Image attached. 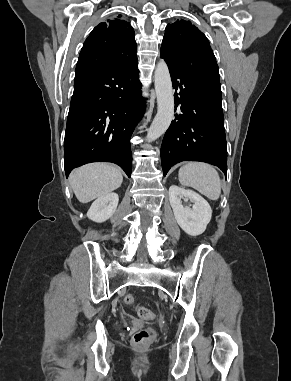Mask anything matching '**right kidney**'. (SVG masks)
Instances as JSON below:
<instances>
[{"label":"right kidney","mask_w":291,"mask_h":381,"mask_svg":"<svg viewBox=\"0 0 291 381\" xmlns=\"http://www.w3.org/2000/svg\"><path fill=\"white\" fill-rule=\"evenodd\" d=\"M119 197L116 193H109L97 198L87 212V217L98 223L105 222L112 217L118 206Z\"/></svg>","instance_id":"obj_1"}]
</instances>
